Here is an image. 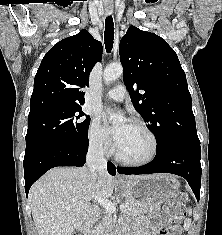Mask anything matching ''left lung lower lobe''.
<instances>
[{"mask_svg":"<svg viewBox=\"0 0 222 235\" xmlns=\"http://www.w3.org/2000/svg\"><path fill=\"white\" fill-rule=\"evenodd\" d=\"M201 147L200 143L191 141H174L157 149L154 160L141 167H118L120 174L171 173L185 178L197 201L200 199L201 186Z\"/></svg>","mask_w":222,"mask_h":235,"instance_id":"1","label":"left lung lower lobe"}]
</instances>
